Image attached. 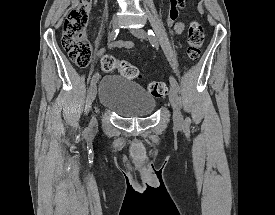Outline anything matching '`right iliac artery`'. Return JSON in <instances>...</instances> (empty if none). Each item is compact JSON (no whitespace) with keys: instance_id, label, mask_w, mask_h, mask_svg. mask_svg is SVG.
I'll list each match as a JSON object with an SVG mask.
<instances>
[{"instance_id":"82829eb1","label":"right iliac artery","mask_w":275,"mask_h":215,"mask_svg":"<svg viewBox=\"0 0 275 215\" xmlns=\"http://www.w3.org/2000/svg\"><path fill=\"white\" fill-rule=\"evenodd\" d=\"M118 33H119V29H115L111 33H109V36H108L109 40H115ZM98 78H99V74L95 73L92 77L91 83L93 84L95 81L98 80Z\"/></svg>"}]
</instances>
